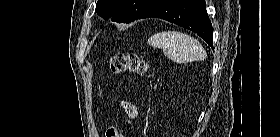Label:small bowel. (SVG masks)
<instances>
[{
  "label": "small bowel",
  "instance_id": "c3829d8e",
  "mask_svg": "<svg viewBox=\"0 0 280 137\" xmlns=\"http://www.w3.org/2000/svg\"><path fill=\"white\" fill-rule=\"evenodd\" d=\"M121 108L126 115L127 123L130 124L137 119L139 115V110L135 104L128 101H122Z\"/></svg>",
  "mask_w": 280,
  "mask_h": 137
}]
</instances>
